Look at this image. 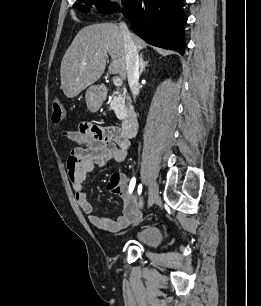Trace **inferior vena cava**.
Here are the masks:
<instances>
[{"instance_id": "1", "label": "inferior vena cava", "mask_w": 261, "mask_h": 306, "mask_svg": "<svg viewBox=\"0 0 261 306\" xmlns=\"http://www.w3.org/2000/svg\"><path fill=\"white\" fill-rule=\"evenodd\" d=\"M119 28L123 35L124 48L126 55V73L128 78V84L134 97L139 92V54L136 45L132 40L131 33L124 22L119 24Z\"/></svg>"}]
</instances>
